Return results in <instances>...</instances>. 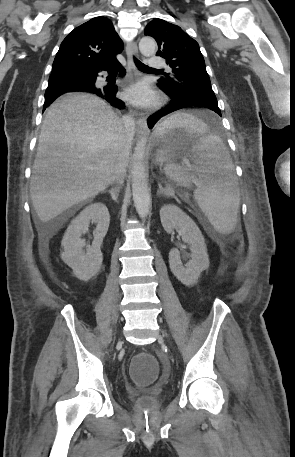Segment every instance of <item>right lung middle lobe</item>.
Segmentation results:
<instances>
[{"label":"right lung middle lobe","instance_id":"dd1d6c3e","mask_svg":"<svg viewBox=\"0 0 295 457\" xmlns=\"http://www.w3.org/2000/svg\"><path fill=\"white\" fill-rule=\"evenodd\" d=\"M78 77H81V78H82V77H87V76H78ZM52 94H53L52 91H47V90H46V92H45V96H46V97H49V96H51Z\"/></svg>","mask_w":295,"mask_h":457}]
</instances>
